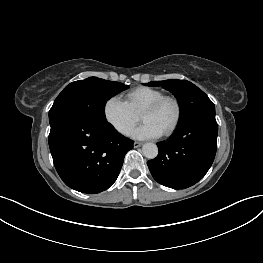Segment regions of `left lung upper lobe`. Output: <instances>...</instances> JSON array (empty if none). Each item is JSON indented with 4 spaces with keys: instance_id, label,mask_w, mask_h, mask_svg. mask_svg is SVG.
<instances>
[{
    "instance_id": "5c2ea615",
    "label": "left lung upper lobe",
    "mask_w": 263,
    "mask_h": 263,
    "mask_svg": "<svg viewBox=\"0 0 263 263\" xmlns=\"http://www.w3.org/2000/svg\"><path fill=\"white\" fill-rule=\"evenodd\" d=\"M145 85L162 86L174 94L181 109L179 125L200 116L215 115L212 101L202 90L187 80L152 81Z\"/></svg>"
}]
</instances>
